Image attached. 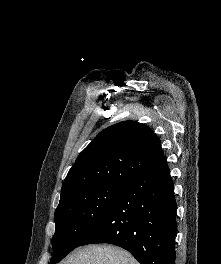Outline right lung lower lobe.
<instances>
[{
  "mask_svg": "<svg viewBox=\"0 0 221 264\" xmlns=\"http://www.w3.org/2000/svg\"><path fill=\"white\" fill-rule=\"evenodd\" d=\"M177 204L166 166L127 182L109 213L79 245L109 243L141 264H174Z\"/></svg>",
  "mask_w": 221,
  "mask_h": 264,
  "instance_id": "obj_1",
  "label": "right lung lower lobe"
}]
</instances>
